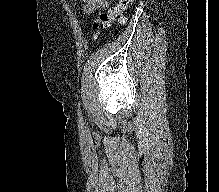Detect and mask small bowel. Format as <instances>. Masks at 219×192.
Masks as SVG:
<instances>
[{
  "label": "small bowel",
  "instance_id": "1",
  "mask_svg": "<svg viewBox=\"0 0 219 192\" xmlns=\"http://www.w3.org/2000/svg\"><path fill=\"white\" fill-rule=\"evenodd\" d=\"M84 2L83 12L91 14L94 11L102 10L108 7V0H81Z\"/></svg>",
  "mask_w": 219,
  "mask_h": 192
}]
</instances>
